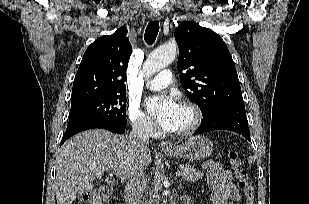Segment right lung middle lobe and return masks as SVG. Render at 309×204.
Listing matches in <instances>:
<instances>
[{"label": "right lung middle lobe", "mask_w": 309, "mask_h": 204, "mask_svg": "<svg viewBox=\"0 0 309 204\" xmlns=\"http://www.w3.org/2000/svg\"><path fill=\"white\" fill-rule=\"evenodd\" d=\"M126 92L110 93L71 104L69 124L98 119L126 126Z\"/></svg>", "instance_id": "1"}]
</instances>
